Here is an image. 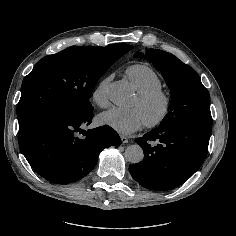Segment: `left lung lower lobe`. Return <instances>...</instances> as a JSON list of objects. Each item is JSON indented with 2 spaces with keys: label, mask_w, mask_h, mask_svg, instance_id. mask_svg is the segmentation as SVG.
Returning a JSON list of instances; mask_svg holds the SVG:
<instances>
[{
  "label": "left lung lower lobe",
  "mask_w": 236,
  "mask_h": 236,
  "mask_svg": "<svg viewBox=\"0 0 236 236\" xmlns=\"http://www.w3.org/2000/svg\"><path fill=\"white\" fill-rule=\"evenodd\" d=\"M211 128L195 123L157 127L136 139L144 159L129 166L132 177L151 190L167 191L180 186L203 164Z\"/></svg>",
  "instance_id": "obj_1"
}]
</instances>
